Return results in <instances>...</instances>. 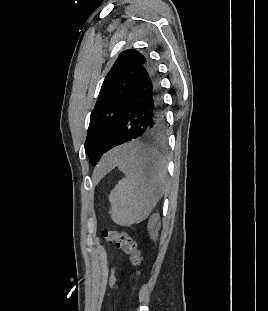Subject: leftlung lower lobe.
Masks as SVG:
<instances>
[{
  "label": "left lung lower lobe",
  "instance_id": "obj_1",
  "mask_svg": "<svg viewBox=\"0 0 268 311\" xmlns=\"http://www.w3.org/2000/svg\"><path fill=\"white\" fill-rule=\"evenodd\" d=\"M165 129L159 75L156 66L148 60L137 73L123 122L105 152L126 142L165 141Z\"/></svg>",
  "mask_w": 268,
  "mask_h": 311
}]
</instances>
